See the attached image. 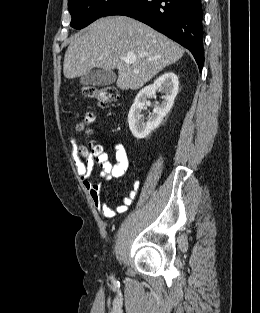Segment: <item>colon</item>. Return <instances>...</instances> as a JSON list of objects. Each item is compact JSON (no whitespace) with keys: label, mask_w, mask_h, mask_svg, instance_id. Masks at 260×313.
I'll list each match as a JSON object with an SVG mask.
<instances>
[{"label":"colon","mask_w":260,"mask_h":313,"mask_svg":"<svg viewBox=\"0 0 260 313\" xmlns=\"http://www.w3.org/2000/svg\"><path fill=\"white\" fill-rule=\"evenodd\" d=\"M83 93L86 97L95 100L101 107H107L118 99V90L113 86H86L83 89ZM76 118L78 120L77 128L84 130L85 126L93 121L94 116L92 112L77 113ZM80 152L83 156L95 158L98 162L102 154L99 145L83 146L80 148Z\"/></svg>","instance_id":"5ec220e1"}]
</instances>
